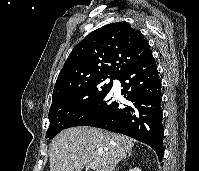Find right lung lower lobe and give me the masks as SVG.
Here are the masks:
<instances>
[{
    "label": "right lung lower lobe",
    "instance_id": "obj_1",
    "mask_svg": "<svg viewBox=\"0 0 199 171\" xmlns=\"http://www.w3.org/2000/svg\"><path fill=\"white\" fill-rule=\"evenodd\" d=\"M116 79L123 87L121 94L124 101L113 100L110 89L78 114L66 128L93 126L125 134L152 147L162 160V94L155 59L151 56L130 66Z\"/></svg>",
    "mask_w": 199,
    "mask_h": 171
}]
</instances>
